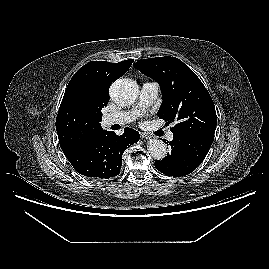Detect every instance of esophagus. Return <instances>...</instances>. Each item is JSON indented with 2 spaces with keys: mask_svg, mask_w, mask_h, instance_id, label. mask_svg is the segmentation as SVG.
<instances>
[{
  "mask_svg": "<svg viewBox=\"0 0 269 269\" xmlns=\"http://www.w3.org/2000/svg\"><path fill=\"white\" fill-rule=\"evenodd\" d=\"M141 137L143 138V139H150V138H152V136L151 135H149L148 133H141Z\"/></svg>",
  "mask_w": 269,
  "mask_h": 269,
  "instance_id": "obj_1",
  "label": "esophagus"
}]
</instances>
